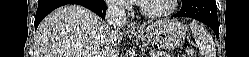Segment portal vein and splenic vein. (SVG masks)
Segmentation results:
<instances>
[{
    "label": "portal vein and splenic vein",
    "instance_id": "portal-vein-and-splenic-vein-1",
    "mask_svg": "<svg viewBox=\"0 0 249 57\" xmlns=\"http://www.w3.org/2000/svg\"><path fill=\"white\" fill-rule=\"evenodd\" d=\"M152 57H159V55H153Z\"/></svg>",
    "mask_w": 249,
    "mask_h": 57
}]
</instances>
